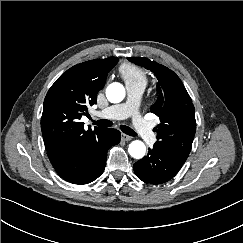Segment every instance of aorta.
Returning a JSON list of instances; mask_svg holds the SVG:
<instances>
[{"label": "aorta", "mask_w": 243, "mask_h": 243, "mask_svg": "<svg viewBox=\"0 0 243 243\" xmlns=\"http://www.w3.org/2000/svg\"><path fill=\"white\" fill-rule=\"evenodd\" d=\"M106 97L111 103H119L125 97V88L118 82L111 83L106 88ZM129 154L135 159H141L146 153V146L140 140H134L129 144Z\"/></svg>", "instance_id": "aorta-1"}]
</instances>
